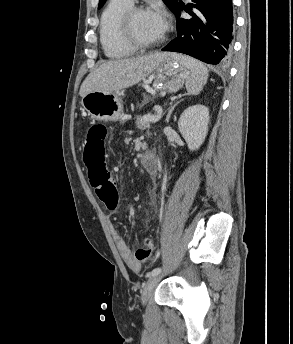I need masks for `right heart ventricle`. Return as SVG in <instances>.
I'll list each match as a JSON object with an SVG mask.
<instances>
[{"label":"right heart ventricle","instance_id":"e07e8e85","mask_svg":"<svg viewBox=\"0 0 293 344\" xmlns=\"http://www.w3.org/2000/svg\"><path fill=\"white\" fill-rule=\"evenodd\" d=\"M130 6L132 2L126 0H109L101 12L99 39L108 58L123 59L136 53V49L122 39L119 31V20Z\"/></svg>","mask_w":293,"mask_h":344}]
</instances>
